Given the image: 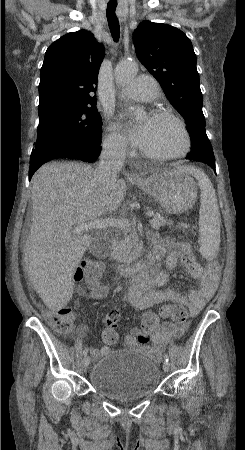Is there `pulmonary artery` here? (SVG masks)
Here are the masks:
<instances>
[{
	"mask_svg": "<svg viewBox=\"0 0 245 450\" xmlns=\"http://www.w3.org/2000/svg\"><path fill=\"white\" fill-rule=\"evenodd\" d=\"M160 94L152 76L143 75L132 80L120 93L122 97L137 101H152Z\"/></svg>",
	"mask_w": 245,
	"mask_h": 450,
	"instance_id": "1",
	"label": "pulmonary artery"
}]
</instances>
